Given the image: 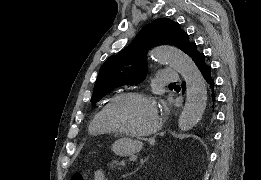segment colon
Returning <instances> with one entry per match:
<instances>
[{
  "instance_id": "colon-1",
  "label": "colon",
  "mask_w": 261,
  "mask_h": 180,
  "mask_svg": "<svg viewBox=\"0 0 261 180\" xmlns=\"http://www.w3.org/2000/svg\"><path fill=\"white\" fill-rule=\"evenodd\" d=\"M73 180H84V176H83V174H81V173H75L74 175H73V178H72Z\"/></svg>"
}]
</instances>
